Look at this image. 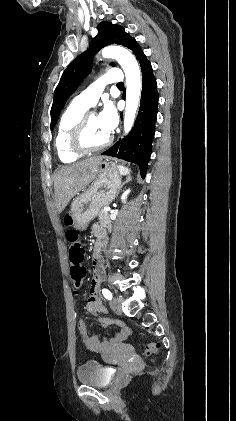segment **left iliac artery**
<instances>
[{
    "label": "left iliac artery",
    "mask_w": 236,
    "mask_h": 421,
    "mask_svg": "<svg viewBox=\"0 0 236 421\" xmlns=\"http://www.w3.org/2000/svg\"><path fill=\"white\" fill-rule=\"evenodd\" d=\"M102 294L108 300L112 299V293L108 289H102Z\"/></svg>",
    "instance_id": "44dca946"
}]
</instances>
